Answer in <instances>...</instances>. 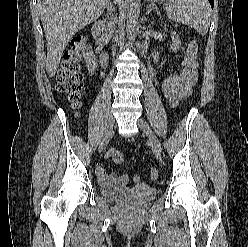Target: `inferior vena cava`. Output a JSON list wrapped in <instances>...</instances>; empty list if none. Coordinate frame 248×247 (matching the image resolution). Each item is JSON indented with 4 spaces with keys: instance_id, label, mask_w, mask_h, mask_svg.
Returning <instances> with one entry per match:
<instances>
[{
    "instance_id": "602c4592",
    "label": "inferior vena cava",
    "mask_w": 248,
    "mask_h": 247,
    "mask_svg": "<svg viewBox=\"0 0 248 247\" xmlns=\"http://www.w3.org/2000/svg\"><path fill=\"white\" fill-rule=\"evenodd\" d=\"M110 6H111V9L109 11L110 17L107 16V18H108L107 27H108L109 33L112 34L113 28H114L116 21H117V17L115 16L114 7L111 4H110Z\"/></svg>"
}]
</instances>
